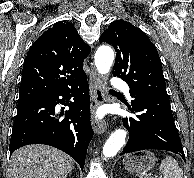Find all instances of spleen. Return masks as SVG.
Wrapping results in <instances>:
<instances>
[{"label":"spleen","mask_w":194,"mask_h":178,"mask_svg":"<svg viewBox=\"0 0 194 178\" xmlns=\"http://www.w3.org/2000/svg\"><path fill=\"white\" fill-rule=\"evenodd\" d=\"M159 170L163 178H183L182 169L171 156H166V158L162 160ZM162 176L159 178H162ZM139 178H143V175H140Z\"/></svg>","instance_id":"obj_1"}]
</instances>
